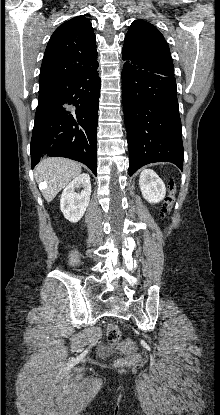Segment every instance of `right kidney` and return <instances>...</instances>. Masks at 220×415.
<instances>
[{"label":"right kidney","instance_id":"right-kidney-1","mask_svg":"<svg viewBox=\"0 0 220 415\" xmlns=\"http://www.w3.org/2000/svg\"><path fill=\"white\" fill-rule=\"evenodd\" d=\"M83 187L81 193H76L75 188ZM91 195L90 177L83 173L73 179L63 190L60 199V209L64 217L70 222H78L84 215Z\"/></svg>","mask_w":220,"mask_h":415}]
</instances>
